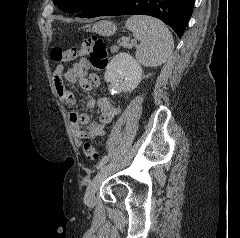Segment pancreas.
I'll return each mask as SVG.
<instances>
[{"label": "pancreas", "mask_w": 240, "mask_h": 238, "mask_svg": "<svg viewBox=\"0 0 240 238\" xmlns=\"http://www.w3.org/2000/svg\"><path fill=\"white\" fill-rule=\"evenodd\" d=\"M110 50H111L112 53H115V52H117V51L119 50V46L114 45V46H112V47L110 48Z\"/></svg>", "instance_id": "cf45deb5"}]
</instances>
